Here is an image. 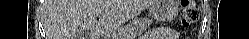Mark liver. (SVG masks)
Instances as JSON below:
<instances>
[{"mask_svg":"<svg viewBox=\"0 0 249 39\" xmlns=\"http://www.w3.org/2000/svg\"><path fill=\"white\" fill-rule=\"evenodd\" d=\"M156 1L48 0L45 28L50 39H110L118 27Z\"/></svg>","mask_w":249,"mask_h":39,"instance_id":"6515ba94","label":"liver"}]
</instances>
